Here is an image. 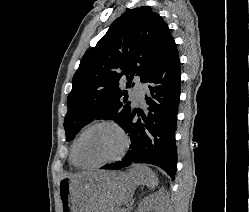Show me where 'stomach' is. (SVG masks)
Here are the masks:
<instances>
[{
  "instance_id": "stomach-1",
  "label": "stomach",
  "mask_w": 249,
  "mask_h": 212,
  "mask_svg": "<svg viewBox=\"0 0 249 212\" xmlns=\"http://www.w3.org/2000/svg\"><path fill=\"white\" fill-rule=\"evenodd\" d=\"M136 185L130 184L127 170H85V175H71L59 182L63 212H106L126 204Z\"/></svg>"
}]
</instances>
